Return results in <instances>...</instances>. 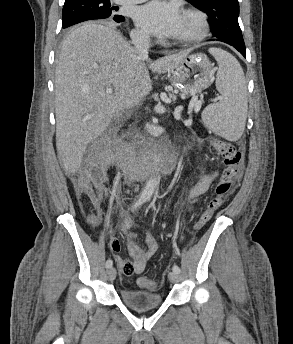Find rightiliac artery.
<instances>
[{
	"label": "right iliac artery",
	"instance_id": "82829eb1",
	"mask_svg": "<svg viewBox=\"0 0 293 344\" xmlns=\"http://www.w3.org/2000/svg\"><path fill=\"white\" fill-rule=\"evenodd\" d=\"M147 200V197L146 196H144V195H141L139 198H138V200L132 205V211H134V210H136L137 208H139L145 201ZM112 264H113V262H112V260L111 259H108L107 261H106V268H110V267H112Z\"/></svg>",
	"mask_w": 293,
	"mask_h": 344
}]
</instances>
